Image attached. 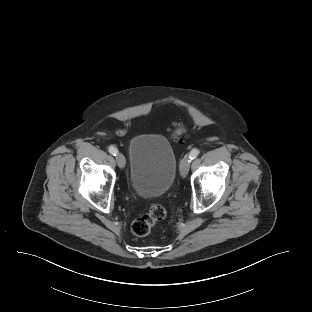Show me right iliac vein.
Wrapping results in <instances>:
<instances>
[{"mask_svg": "<svg viewBox=\"0 0 312 312\" xmlns=\"http://www.w3.org/2000/svg\"><path fill=\"white\" fill-rule=\"evenodd\" d=\"M116 162L120 168H124L126 165V160L123 154L118 153L116 155Z\"/></svg>", "mask_w": 312, "mask_h": 312, "instance_id": "obj_1", "label": "right iliac vein"}]
</instances>
